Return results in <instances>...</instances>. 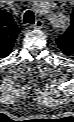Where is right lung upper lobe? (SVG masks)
Masks as SVG:
<instances>
[{
	"mask_svg": "<svg viewBox=\"0 0 74 122\" xmlns=\"http://www.w3.org/2000/svg\"><path fill=\"white\" fill-rule=\"evenodd\" d=\"M18 33L19 29L11 14L0 10V59L11 53Z\"/></svg>",
	"mask_w": 74,
	"mask_h": 122,
	"instance_id": "right-lung-upper-lobe-1",
	"label": "right lung upper lobe"
}]
</instances>
